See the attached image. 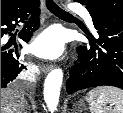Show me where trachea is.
I'll list each match as a JSON object with an SVG mask.
<instances>
[{
	"label": "trachea",
	"instance_id": "obj_1",
	"mask_svg": "<svg viewBox=\"0 0 123 113\" xmlns=\"http://www.w3.org/2000/svg\"><path fill=\"white\" fill-rule=\"evenodd\" d=\"M46 6L49 9L50 12L55 14L58 17H64V18H73V16L61 9L56 3H54L52 0L46 1Z\"/></svg>",
	"mask_w": 123,
	"mask_h": 113
}]
</instances>
